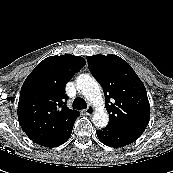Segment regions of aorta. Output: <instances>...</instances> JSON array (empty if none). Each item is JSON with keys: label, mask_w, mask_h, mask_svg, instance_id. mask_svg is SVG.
Returning a JSON list of instances; mask_svg holds the SVG:
<instances>
[{"label": "aorta", "mask_w": 173, "mask_h": 173, "mask_svg": "<svg viewBox=\"0 0 173 173\" xmlns=\"http://www.w3.org/2000/svg\"><path fill=\"white\" fill-rule=\"evenodd\" d=\"M77 84L83 95L93 105L92 122L97 127H104L109 121V115L105 110V101L99 83L89 74H81L77 78Z\"/></svg>", "instance_id": "obj_1"}]
</instances>
